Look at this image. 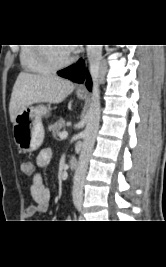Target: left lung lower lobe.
<instances>
[{
  "label": "left lung lower lobe",
  "mask_w": 166,
  "mask_h": 267,
  "mask_svg": "<svg viewBox=\"0 0 166 267\" xmlns=\"http://www.w3.org/2000/svg\"><path fill=\"white\" fill-rule=\"evenodd\" d=\"M84 67L85 63L81 60L78 64L72 67H67L63 70L58 71V75L77 83H83L84 81ZM87 81L86 86L91 91L92 82L88 73H86Z\"/></svg>",
  "instance_id": "0a47b994"
}]
</instances>
